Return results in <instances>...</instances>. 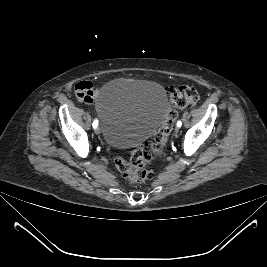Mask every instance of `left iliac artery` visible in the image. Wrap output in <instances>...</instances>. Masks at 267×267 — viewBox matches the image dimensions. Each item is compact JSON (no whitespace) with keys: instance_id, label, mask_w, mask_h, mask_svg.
Segmentation results:
<instances>
[{"instance_id":"left-iliac-artery-1","label":"left iliac artery","mask_w":267,"mask_h":267,"mask_svg":"<svg viewBox=\"0 0 267 267\" xmlns=\"http://www.w3.org/2000/svg\"><path fill=\"white\" fill-rule=\"evenodd\" d=\"M181 125H182L181 121H178V122H177V126H178V127H181Z\"/></svg>"}]
</instances>
